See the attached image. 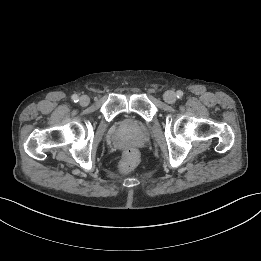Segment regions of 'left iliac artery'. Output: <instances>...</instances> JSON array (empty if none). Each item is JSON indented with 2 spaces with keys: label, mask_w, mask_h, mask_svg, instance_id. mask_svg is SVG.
<instances>
[{
  "label": "left iliac artery",
  "mask_w": 261,
  "mask_h": 261,
  "mask_svg": "<svg viewBox=\"0 0 261 261\" xmlns=\"http://www.w3.org/2000/svg\"><path fill=\"white\" fill-rule=\"evenodd\" d=\"M176 95H177V98H182L183 92L179 90V91H177Z\"/></svg>",
  "instance_id": "1"
}]
</instances>
